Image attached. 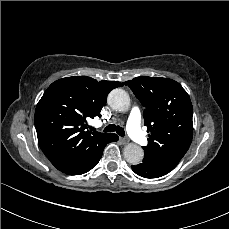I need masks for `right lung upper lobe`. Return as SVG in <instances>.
<instances>
[{"label": "right lung upper lobe", "mask_w": 229, "mask_h": 229, "mask_svg": "<svg viewBox=\"0 0 229 229\" xmlns=\"http://www.w3.org/2000/svg\"><path fill=\"white\" fill-rule=\"evenodd\" d=\"M121 86L118 81L72 76L46 89L36 107L35 127L41 150L58 170H74L108 135L87 131L85 122L100 116L108 93Z\"/></svg>", "instance_id": "obj_1"}]
</instances>
